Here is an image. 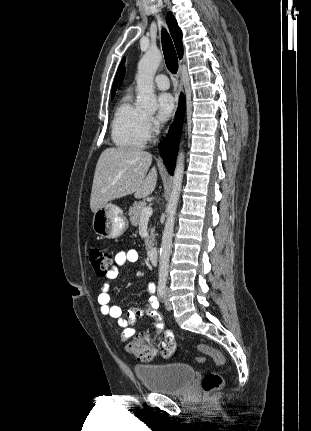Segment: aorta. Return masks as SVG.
I'll return each instance as SVG.
<instances>
[{"mask_svg": "<svg viewBox=\"0 0 311 431\" xmlns=\"http://www.w3.org/2000/svg\"><path fill=\"white\" fill-rule=\"evenodd\" d=\"M161 62L162 54L157 48L155 50H151L150 48L148 52H145L143 58H141L135 78L138 92L135 104L136 108H144L148 112H155L157 110L158 104L153 88L154 76ZM184 160V152L183 150H179L174 170L172 190L166 206L167 217L159 251V283H166L167 281L175 216L184 178Z\"/></svg>", "mask_w": 311, "mask_h": 431, "instance_id": "obj_1", "label": "aorta"}]
</instances>
